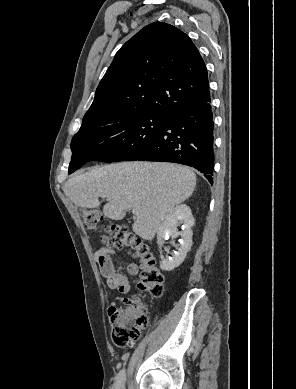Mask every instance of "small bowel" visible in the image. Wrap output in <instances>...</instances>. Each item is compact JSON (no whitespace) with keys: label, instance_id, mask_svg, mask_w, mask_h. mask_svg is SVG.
Masks as SVG:
<instances>
[{"label":"small bowel","instance_id":"1","mask_svg":"<svg viewBox=\"0 0 296 389\" xmlns=\"http://www.w3.org/2000/svg\"><path fill=\"white\" fill-rule=\"evenodd\" d=\"M113 253V250L110 248H100L94 254L95 261L99 266L100 272L106 278L107 286L110 289L118 290L121 294H128L131 288L129 280L126 276L116 272L112 261ZM127 271L130 275H137L139 267L133 262L127 266Z\"/></svg>","mask_w":296,"mask_h":389}]
</instances>
